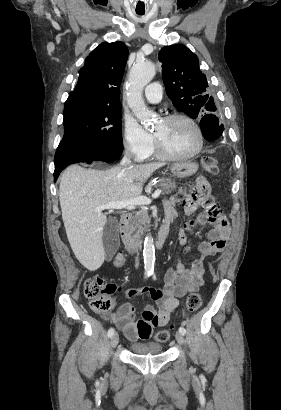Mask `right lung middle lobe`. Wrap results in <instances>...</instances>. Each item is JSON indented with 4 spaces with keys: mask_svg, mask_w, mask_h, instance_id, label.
<instances>
[{
    "mask_svg": "<svg viewBox=\"0 0 281 410\" xmlns=\"http://www.w3.org/2000/svg\"><path fill=\"white\" fill-rule=\"evenodd\" d=\"M63 125L64 136L55 159L74 150L123 147L120 107L67 105Z\"/></svg>",
    "mask_w": 281,
    "mask_h": 410,
    "instance_id": "1",
    "label": "right lung middle lobe"
}]
</instances>
